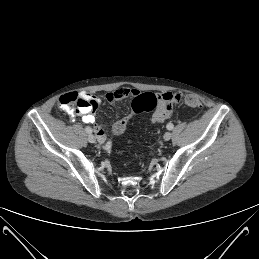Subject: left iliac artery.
<instances>
[{
  "mask_svg": "<svg viewBox=\"0 0 259 259\" xmlns=\"http://www.w3.org/2000/svg\"><path fill=\"white\" fill-rule=\"evenodd\" d=\"M166 128H167L168 130H172V129L174 128V125H173L172 123H168L167 126H166Z\"/></svg>",
  "mask_w": 259,
  "mask_h": 259,
  "instance_id": "44dca946",
  "label": "left iliac artery"
}]
</instances>
